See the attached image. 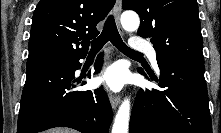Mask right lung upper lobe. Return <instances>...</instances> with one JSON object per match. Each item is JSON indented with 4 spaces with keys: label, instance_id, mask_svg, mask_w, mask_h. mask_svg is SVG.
<instances>
[{
    "label": "right lung upper lobe",
    "instance_id": "1",
    "mask_svg": "<svg viewBox=\"0 0 221 133\" xmlns=\"http://www.w3.org/2000/svg\"><path fill=\"white\" fill-rule=\"evenodd\" d=\"M115 0H40L32 20L27 66L86 56Z\"/></svg>",
    "mask_w": 221,
    "mask_h": 133
}]
</instances>
